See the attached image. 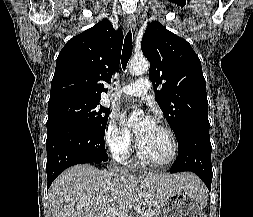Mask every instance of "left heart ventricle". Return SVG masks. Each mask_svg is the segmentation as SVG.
<instances>
[{
  "instance_id": "left-heart-ventricle-1",
  "label": "left heart ventricle",
  "mask_w": 253,
  "mask_h": 217,
  "mask_svg": "<svg viewBox=\"0 0 253 217\" xmlns=\"http://www.w3.org/2000/svg\"><path fill=\"white\" fill-rule=\"evenodd\" d=\"M138 140L143 154L152 161L163 162L171 153L170 139L158 126L152 127Z\"/></svg>"
}]
</instances>
